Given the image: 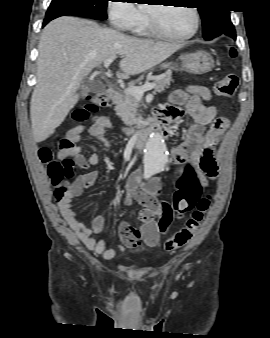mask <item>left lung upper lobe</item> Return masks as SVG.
I'll use <instances>...</instances> for the list:
<instances>
[{
	"instance_id": "1",
	"label": "left lung upper lobe",
	"mask_w": 270,
	"mask_h": 338,
	"mask_svg": "<svg viewBox=\"0 0 270 338\" xmlns=\"http://www.w3.org/2000/svg\"><path fill=\"white\" fill-rule=\"evenodd\" d=\"M226 0H199V13L202 18L203 37L211 40L221 34L228 35L234 26L229 10L225 8Z\"/></svg>"
}]
</instances>
